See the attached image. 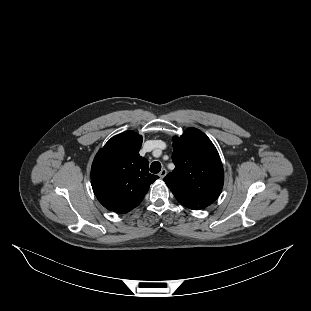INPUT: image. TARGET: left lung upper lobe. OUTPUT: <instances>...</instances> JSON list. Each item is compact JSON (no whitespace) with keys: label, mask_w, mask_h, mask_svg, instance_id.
<instances>
[{"label":"left lung upper lobe","mask_w":311,"mask_h":311,"mask_svg":"<svg viewBox=\"0 0 311 311\" xmlns=\"http://www.w3.org/2000/svg\"><path fill=\"white\" fill-rule=\"evenodd\" d=\"M175 169L164 181L176 199L193 210L212 204L224 183L223 166L211 140L196 128L173 138Z\"/></svg>","instance_id":"obj_1"}]
</instances>
